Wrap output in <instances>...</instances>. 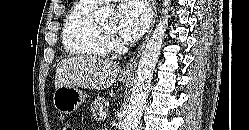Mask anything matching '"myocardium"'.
Here are the masks:
<instances>
[{"label": "myocardium", "mask_w": 249, "mask_h": 130, "mask_svg": "<svg viewBox=\"0 0 249 130\" xmlns=\"http://www.w3.org/2000/svg\"><path fill=\"white\" fill-rule=\"evenodd\" d=\"M100 31H101V34L103 35L104 39L106 40V42L110 46L114 40V32L107 31L106 29H104L101 26H100Z\"/></svg>", "instance_id": "obj_1"}]
</instances>
